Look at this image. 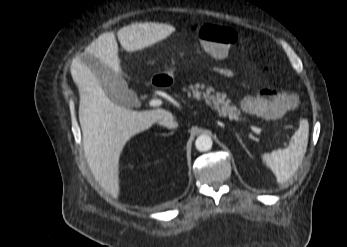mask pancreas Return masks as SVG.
I'll return each instance as SVG.
<instances>
[{"instance_id":"cf45deb5","label":"pancreas","mask_w":347,"mask_h":247,"mask_svg":"<svg viewBox=\"0 0 347 247\" xmlns=\"http://www.w3.org/2000/svg\"><path fill=\"white\" fill-rule=\"evenodd\" d=\"M203 87L199 84H190L188 88L184 87L183 91L187 92L188 97L195 99L203 98L205 102L222 117H229L230 120L241 121L240 110L232 104L230 99L226 98L225 93L215 92L211 87L202 91Z\"/></svg>"}]
</instances>
